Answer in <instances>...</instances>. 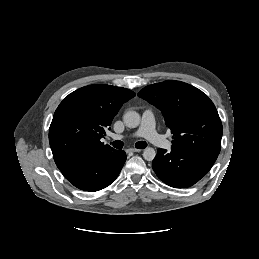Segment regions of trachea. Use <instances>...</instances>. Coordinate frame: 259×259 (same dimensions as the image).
<instances>
[{"instance_id": "trachea-1", "label": "trachea", "mask_w": 259, "mask_h": 259, "mask_svg": "<svg viewBox=\"0 0 259 259\" xmlns=\"http://www.w3.org/2000/svg\"><path fill=\"white\" fill-rule=\"evenodd\" d=\"M123 142L120 141V140H116L112 143V146L116 149H122L123 148ZM147 146V143L145 141H138L136 144H135V147L137 149H144L146 148Z\"/></svg>"}]
</instances>
